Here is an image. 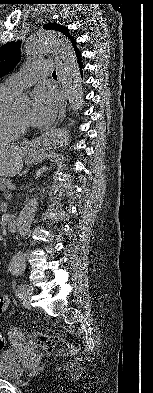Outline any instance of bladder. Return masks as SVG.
Wrapping results in <instances>:
<instances>
[{
    "label": "bladder",
    "mask_w": 153,
    "mask_h": 393,
    "mask_svg": "<svg viewBox=\"0 0 153 393\" xmlns=\"http://www.w3.org/2000/svg\"><path fill=\"white\" fill-rule=\"evenodd\" d=\"M17 352L6 350L0 353V378L17 380L24 374V369L17 359Z\"/></svg>",
    "instance_id": "31cf9c89"
}]
</instances>
